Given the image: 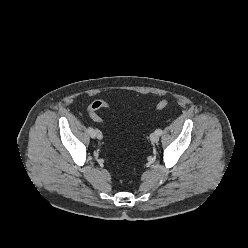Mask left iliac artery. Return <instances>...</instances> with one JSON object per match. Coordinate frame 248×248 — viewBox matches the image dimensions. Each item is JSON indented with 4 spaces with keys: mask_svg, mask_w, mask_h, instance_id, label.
I'll return each mask as SVG.
<instances>
[{
    "mask_svg": "<svg viewBox=\"0 0 248 248\" xmlns=\"http://www.w3.org/2000/svg\"><path fill=\"white\" fill-rule=\"evenodd\" d=\"M155 132H156L159 136L162 134V130H161V129H157Z\"/></svg>",
    "mask_w": 248,
    "mask_h": 248,
    "instance_id": "left-iliac-artery-1",
    "label": "left iliac artery"
}]
</instances>
